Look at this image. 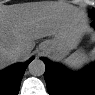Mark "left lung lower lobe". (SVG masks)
Listing matches in <instances>:
<instances>
[{"mask_svg": "<svg viewBox=\"0 0 95 95\" xmlns=\"http://www.w3.org/2000/svg\"><path fill=\"white\" fill-rule=\"evenodd\" d=\"M95 18V13L91 12ZM95 25V21H93ZM46 65L44 78L49 93L55 95H94L95 94V64L79 73H72L64 67L42 59Z\"/></svg>", "mask_w": 95, "mask_h": 95, "instance_id": "obj_1", "label": "left lung lower lobe"}]
</instances>
